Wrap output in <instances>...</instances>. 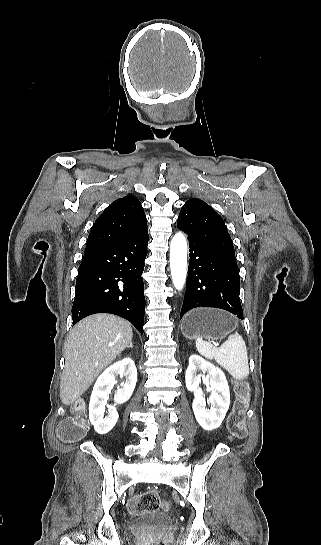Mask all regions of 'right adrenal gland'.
Here are the masks:
<instances>
[{
    "label": "right adrenal gland",
    "mask_w": 321,
    "mask_h": 545,
    "mask_svg": "<svg viewBox=\"0 0 321 545\" xmlns=\"http://www.w3.org/2000/svg\"><path fill=\"white\" fill-rule=\"evenodd\" d=\"M127 349H133L132 343H130V345H128Z\"/></svg>",
    "instance_id": "2a0ac1e0"
}]
</instances>
